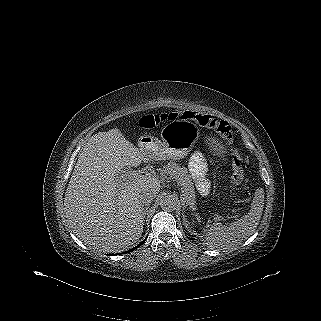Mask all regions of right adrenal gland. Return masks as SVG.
<instances>
[{"mask_svg": "<svg viewBox=\"0 0 321 321\" xmlns=\"http://www.w3.org/2000/svg\"><path fill=\"white\" fill-rule=\"evenodd\" d=\"M146 210H147V208L145 209L144 214H146Z\"/></svg>", "mask_w": 321, "mask_h": 321, "instance_id": "right-adrenal-gland-1", "label": "right adrenal gland"}]
</instances>
